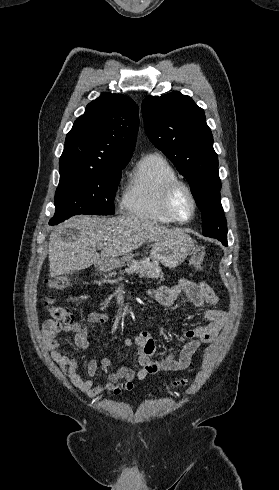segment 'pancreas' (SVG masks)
Here are the masks:
<instances>
[{"mask_svg":"<svg viewBox=\"0 0 279 490\" xmlns=\"http://www.w3.org/2000/svg\"><path fill=\"white\" fill-rule=\"evenodd\" d=\"M123 274H139V278H156L161 282L164 280V274L161 272L158 262H150L148 258L133 260L128 264V268L123 270Z\"/></svg>","mask_w":279,"mask_h":490,"instance_id":"cf45deb5","label":"pancreas"}]
</instances>
